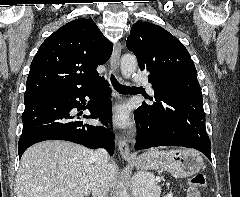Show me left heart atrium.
Returning a JSON list of instances; mask_svg holds the SVG:
<instances>
[{
    "label": "left heart atrium",
    "instance_id": "left-heart-atrium-1",
    "mask_svg": "<svg viewBox=\"0 0 240 197\" xmlns=\"http://www.w3.org/2000/svg\"><path fill=\"white\" fill-rule=\"evenodd\" d=\"M113 122L118 126H126L129 122L128 111L125 107H119L113 114Z\"/></svg>",
    "mask_w": 240,
    "mask_h": 197
}]
</instances>
